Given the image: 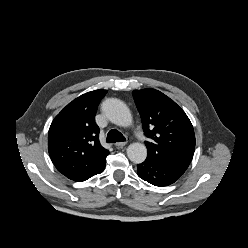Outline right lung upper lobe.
Wrapping results in <instances>:
<instances>
[{"instance_id":"1","label":"right lung upper lobe","mask_w":248,"mask_h":248,"mask_svg":"<svg viewBox=\"0 0 248 248\" xmlns=\"http://www.w3.org/2000/svg\"><path fill=\"white\" fill-rule=\"evenodd\" d=\"M107 91L85 93L54 118L48 132V151L57 170L76 182L85 181L105 168L109 151L99 142L94 122L97 107Z\"/></svg>"}]
</instances>
